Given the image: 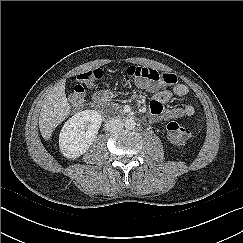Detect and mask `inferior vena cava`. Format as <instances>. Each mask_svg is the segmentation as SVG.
Returning a JSON list of instances; mask_svg holds the SVG:
<instances>
[{"instance_id":"inferior-vena-cava-1","label":"inferior vena cava","mask_w":243,"mask_h":243,"mask_svg":"<svg viewBox=\"0 0 243 243\" xmlns=\"http://www.w3.org/2000/svg\"><path fill=\"white\" fill-rule=\"evenodd\" d=\"M123 127L124 123L119 118H110L105 124L106 130L110 133L119 132Z\"/></svg>"}]
</instances>
